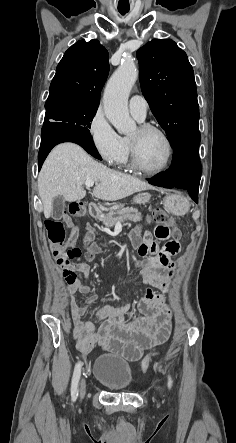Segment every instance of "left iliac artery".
<instances>
[{"label":"left iliac artery","mask_w":236,"mask_h":443,"mask_svg":"<svg viewBox=\"0 0 236 443\" xmlns=\"http://www.w3.org/2000/svg\"><path fill=\"white\" fill-rule=\"evenodd\" d=\"M169 381H168V386H169V388L171 387V385H172V380H171V377L169 376Z\"/></svg>","instance_id":"1"}]
</instances>
